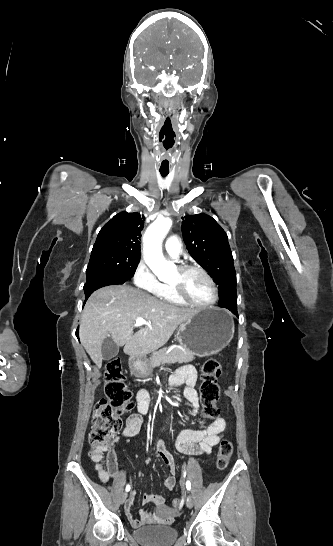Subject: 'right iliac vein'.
I'll use <instances>...</instances> for the list:
<instances>
[{
  "instance_id": "63e3f726",
  "label": "right iliac vein",
  "mask_w": 333,
  "mask_h": 546,
  "mask_svg": "<svg viewBox=\"0 0 333 546\" xmlns=\"http://www.w3.org/2000/svg\"><path fill=\"white\" fill-rule=\"evenodd\" d=\"M126 498H127V493H123V494L121 495V502L124 503L125 500H126Z\"/></svg>"
}]
</instances>
